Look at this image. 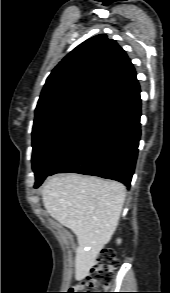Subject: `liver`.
Masks as SVG:
<instances>
[{"instance_id":"obj_1","label":"liver","mask_w":170,"mask_h":293,"mask_svg":"<svg viewBox=\"0 0 170 293\" xmlns=\"http://www.w3.org/2000/svg\"><path fill=\"white\" fill-rule=\"evenodd\" d=\"M126 188L116 181L70 174L49 178L42 189L43 205L78 241L75 279H84L118 226Z\"/></svg>"}]
</instances>
